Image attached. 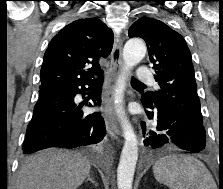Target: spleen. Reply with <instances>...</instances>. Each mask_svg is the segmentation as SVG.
<instances>
[{
	"label": "spleen",
	"mask_w": 223,
	"mask_h": 189,
	"mask_svg": "<svg viewBox=\"0 0 223 189\" xmlns=\"http://www.w3.org/2000/svg\"><path fill=\"white\" fill-rule=\"evenodd\" d=\"M155 179L170 189H217L205 165L194 157L167 155L153 166Z\"/></svg>",
	"instance_id": "spleen-1"
}]
</instances>
